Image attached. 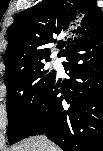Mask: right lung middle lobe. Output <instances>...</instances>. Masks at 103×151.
<instances>
[{
	"label": "right lung middle lobe",
	"instance_id": "right-lung-middle-lobe-1",
	"mask_svg": "<svg viewBox=\"0 0 103 151\" xmlns=\"http://www.w3.org/2000/svg\"><path fill=\"white\" fill-rule=\"evenodd\" d=\"M55 78V71L46 69L44 62H41L23 68L5 81L10 145L20 141L29 120Z\"/></svg>",
	"mask_w": 103,
	"mask_h": 151
}]
</instances>
